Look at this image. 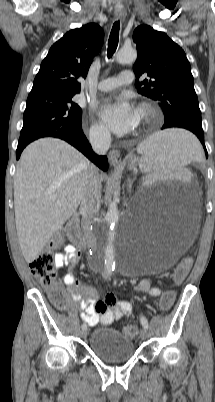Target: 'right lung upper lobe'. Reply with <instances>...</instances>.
<instances>
[{
  "mask_svg": "<svg viewBox=\"0 0 215 402\" xmlns=\"http://www.w3.org/2000/svg\"><path fill=\"white\" fill-rule=\"evenodd\" d=\"M103 40V30L95 23L67 32L42 61L29 96L79 93V79L86 77L92 58L100 51Z\"/></svg>",
  "mask_w": 215,
  "mask_h": 402,
  "instance_id": "cb5924a9",
  "label": "right lung upper lobe"
}]
</instances>
